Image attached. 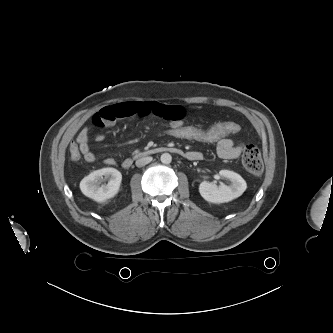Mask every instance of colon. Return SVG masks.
I'll list each match as a JSON object with an SVG mask.
<instances>
[{
	"mask_svg": "<svg viewBox=\"0 0 333 333\" xmlns=\"http://www.w3.org/2000/svg\"><path fill=\"white\" fill-rule=\"evenodd\" d=\"M239 130L240 127L236 122L219 121L208 127L186 125L184 123H168L163 127L162 133L176 139L217 143L224 138H230L232 135L237 134ZM69 155L73 161L81 159V152L77 144H70ZM242 164L248 172L254 175L261 174L263 163L260 151L256 145L249 144L245 147L242 155Z\"/></svg>",
	"mask_w": 333,
	"mask_h": 333,
	"instance_id": "5ec220e1",
	"label": "colon"
}]
</instances>
